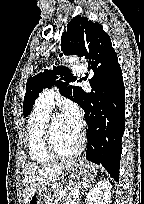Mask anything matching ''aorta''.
Masks as SVG:
<instances>
[{"mask_svg": "<svg viewBox=\"0 0 144 204\" xmlns=\"http://www.w3.org/2000/svg\"><path fill=\"white\" fill-rule=\"evenodd\" d=\"M64 62L66 64H70V63H79V58L77 56H72V57H67L64 59Z\"/></svg>", "mask_w": 144, "mask_h": 204, "instance_id": "762f6f07", "label": "aorta"}]
</instances>
